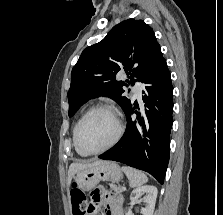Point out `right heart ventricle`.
I'll list each match as a JSON object with an SVG mask.
<instances>
[{"label": "right heart ventricle", "instance_id": "obj_1", "mask_svg": "<svg viewBox=\"0 0 223 215\" xmlns=\"http://www.w3.org/2000/svg\"><path fill=\"white\" fill-rule=\"evenodd\" d=\"M76 125H77V124H76ZM76 125H75V127H74V129H73V141H74V132H75Z\"/></svg>", "mask_w": 223, "mask_h": 215}]
</instances>
